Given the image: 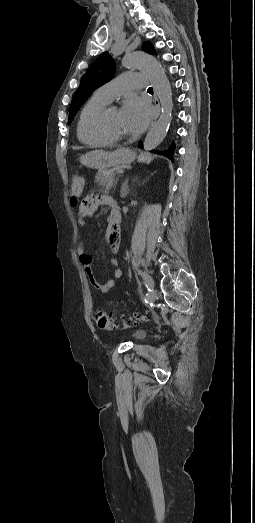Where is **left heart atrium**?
Listing matches in <instances>:
<instances>
[{"label":"left heart atrium","instance_id":"39dd6f15","mask_svg":"<svg viewBox=\"0 0 255 523\" xmlns=\"http://www.w3.org/2000/svg\"><path fill=\"white\" fill-rule=\"evenodd\" d=\"M124 109L130 118L134 134L141 132L146 127L152 115L150 103L136 96L127 98Z\"/></svg>","mask_w":255,"mask_h":523}]
</instances>
